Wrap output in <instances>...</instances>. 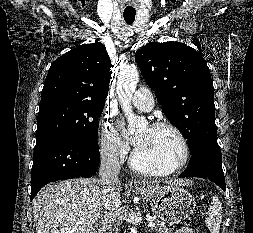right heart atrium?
Masks as SVG:
<instances>
[{
	"label": "right heart atrium",
	"mask_w": 253,
	"mask_h": 233,
	"mask_svg": "<svg viewBox=\"0 0 253 233\" xmlns=\"http://www.w3.org/2000/svg\"><path fill=\"white\" fill-rule=\"evenodd\" d=\"M101 152L115 159H122L128 152V144L115 126L107 121L103 124L100 137Z\"/></svg>",
	"instance_id": "obj_1"
}]
</instances>
